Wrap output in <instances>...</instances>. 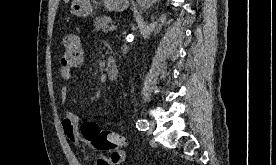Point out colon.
<instances>
[{
    "label": "colon",
    "instance_id": "1",
    "mask_svg": "<svg viewBox=\"0 0 276 165\" xmlns=\"http://www.w3.org/2000/svg\"><path fill=\"white\" fill-rule=\"evenodd\" d=\"M83 60V47L77 35L69 34L64 38V52L61 66L72 69ZM83 138L97 150H110L119 158L124 155L126 139L117 133L102 129L94 120H87L81 126Z\"/></svg>",
    "mask_w": 276,
    "mask_h": 165
}]
</instances>
